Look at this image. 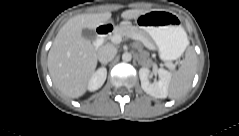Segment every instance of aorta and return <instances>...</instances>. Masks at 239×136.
I'll return each instance as SVG.
<instances>
[{
  "instance_id": "1",
  "label": "aorta",
  "mask_w": 239,
  "mask_h": 136,
  "mask_svg": "<svg viewBox=\"0 0 239 136\" xmlns=\"http://www.w3.org/2000/svg\"><path fill=\"white\" fill-rule=\"evenodd\" d=\"M131 59H132L131 53H129V52L123 53V55H122V60L123 61L129 62V61H131Z\"/></svg>"
}]
</instances>
